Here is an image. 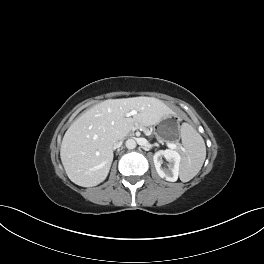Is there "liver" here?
<instances>
[{
    "mask_svg": "<svg viewBox=\"0 0 264 264\" xmlns=\"http://www.w3.org/2000/svg\"><path fill=\"white\" fill-rule=\"evenodd\" d=\"M135 110L133 118L127 114ZM173 112L161 100L134 97L105 100L84 113L66 131L60 157L69 179L82 187H93L108 176L113 145L125 138L135 124L152 126Z\"/></svg>",
    "mask_w": 264,
    "mask_h": 264,
    "instance_id": "obj_1",
    "label": "liver"
}]
</instances>
